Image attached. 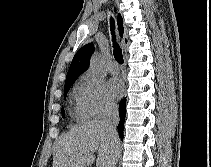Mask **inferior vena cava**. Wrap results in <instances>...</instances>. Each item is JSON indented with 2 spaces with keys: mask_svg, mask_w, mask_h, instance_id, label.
<instances>
[{
  "mask_svg": "<svg viewBox=\"0 0 211 167\" xmlns=\"http://www.w3.org/2000/svg\"><path fill=\"white\" fill-rule=\"evenodd\" d=\"M102 123L107 129V131L110 133L112 140L115 142L119 141V137L116 130V127L119 123V113L118 107L115 104L109 103L107 105L105 117Z\"/></svg>",
  "mask_w": 211,
  "mask_h": 167,
  "instance_id": "602c4592",
  "label": "inferior vena cava"
}]
</instances>
